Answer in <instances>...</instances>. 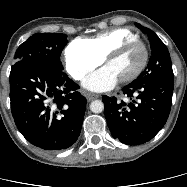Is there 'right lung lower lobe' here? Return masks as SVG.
I'll list each match as a JSON object with an SVG mask.
<instances>
[{
	"label": "right lung lower lobe",
	"mask_w": 187,
	"mask_h": 187,
	"mask_svg": "<svg viewBox=\"0 0 187 187\" xmlns=\"http://www.w3.org/2000/svg\"><path fill=\"white\" fill-rule=\"evenodd\" d=\"M9 80L15 124L31 144L61 150L76 142L87 100L63 69L20 60L11 67Z\"/></svg>",
	"instance_id": "obj_1"
}]
</instances>
